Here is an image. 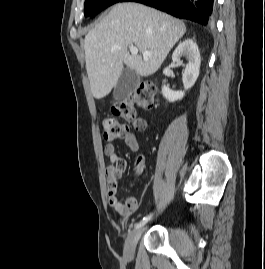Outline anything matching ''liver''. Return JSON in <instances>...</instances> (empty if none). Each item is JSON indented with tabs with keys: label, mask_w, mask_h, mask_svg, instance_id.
I'll use <instances>...</instances> for the list:
<instances>
[{
	"label": "liver",
	"mask_w": 265,
	"mask_h": 269,
	"mask_svg": "<svg viewBox=\"0 0 265 269\" xmlns=\"http://www.w3.org/2000/svg\"><path fill=\"white\" fill-rule=\"evenodd\" d=\"M184 22L137 3H118L85 37L86 70L92 95L107 96L123 65L146 77L162 65L170 50L185 34ZM135 46L140 54H130ZM152 54L142 58L141 53Z\"/></svg>",
	"instance_id": "obj_1"
}]
</instances>
